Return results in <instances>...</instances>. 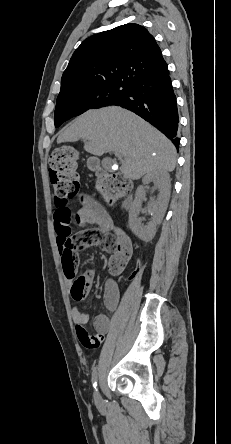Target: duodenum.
Segmentation results:
<instances>
[{"mask_svg": "<svg viewBox=\"0 0 231 444\" xmlns=\"http://www.w3.org/2000/svg\"><path fill=\"white\" fill-rule=\"evenodd\" d=\"M131 202V199L128 197L125 201H124V205L125 206H129Z\"/></svg>", "mask_w": 231, "mask_h": 444, "instance_id": "410a0bca", "label": "duodenum"}]
</instances>
